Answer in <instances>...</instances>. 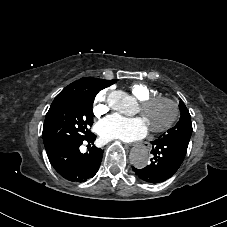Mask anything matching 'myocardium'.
<instances>
[{"label":"myocardium","instance_id":"f54148a6","mask_svg":"<svg viewBox=\"0 0 227 227\" xmlns=\"http://www.w3.org/2000/svg\"><path fill=\"white\" fill-rule=\"evenodd\" d=\"M159 102L169 103L170 106L172 107V113L164 125L160 127H150V130L154 133H162L171 129L179 120L181 113L179 102L176 99L169 96L156 95L140 102V114L144 113L146 110H148L149 108H151L152 106Z\"/></svg>","mask_w":227,"mask_h":227}]
</instances>
